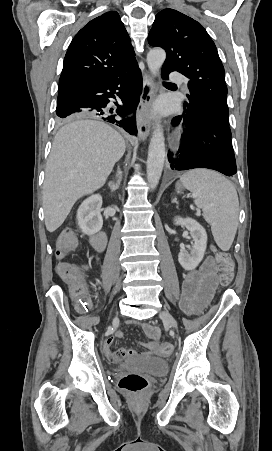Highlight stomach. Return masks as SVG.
<instances>
[{"mask_svg": "<svg viewBox=\"0 0 272 451\" xmlns=\"http://www.w3.org/2000/svg\"><path fill=\"white\" fill-rule=\"evenodd\" d=\"M176 190H177V192H181V190H182L181 184H176Z\"/></svg>", "mask_w": 272, "mask_h": 451, "instance_id": "1", "label": "stomach"}]
</instances>
